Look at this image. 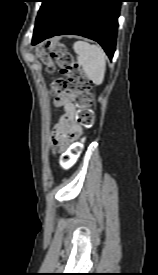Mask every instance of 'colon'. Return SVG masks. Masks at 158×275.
Instances as JSON below:
<instances>
[{
	"label": "colon",
	"mask_w": 158,
	"mask_h": 275,
	"mask_svg": "<svg viewBox=\"0 0 158 275\" xmlns=\"http://www.w3.org/2000/svg\"><path fill=\"white\" fill-rule=\"evenodd\" d=\"M37 52L46 63L50 73L56 69L60 72V77L54 79L51 83L52 93L61 94L70 86L77 108L75 115L77 124L85 129L91 128L94 122L91 81L75 62L66 45L62 41H50L47 53L41 49H38ZM79 151L80 145H74L70 150V154L64 157L62 162L65 164L69 159L75 158Z\"/></svg>",
	"instance_id": "1"
}]
</instances>
